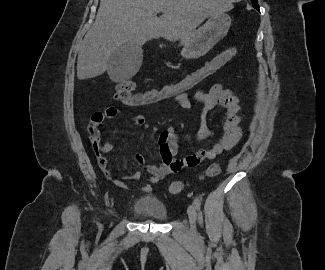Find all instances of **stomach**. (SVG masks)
I'll list each match as a JSON object with an SVG mask.
<instances>
[{
    "label": "stomach",
    "mask_w": 325,
    "mask_h": 270,
    "mask_svg": "<svg viewBox=\"0 0 325 270\" xmlns=\"http://www.w3.org/2000/svg\"><path fill=\"white\" fill-rule=\"evenodd\" d=\"M231 18L226 13L211 15L207 22L185 40L181 39V55L184 58H198L205 55L219 40L226 36Z\"/></svg>",
    "instance_id": "stomach-1"
}]
</instances>
